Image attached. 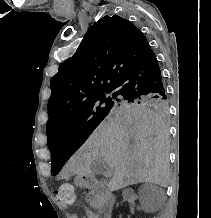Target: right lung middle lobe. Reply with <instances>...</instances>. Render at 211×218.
Listing matches in <instances>:
<instances>
[{
	"label": "right lung middle lobe",
	"mask_w": 211,
	"mask_h": 218,
	"mask_svg": "<svg viewBox=\"0 0 211 218\" xmlns=\"http://www.w3.org/2000/svg\"><path fill=\"white\" fill-rule=\"evenodd\" d=\"M111 91L108 90L59 117L55 124L47 129L49 148L67 144L78 149L108 115L111 108L116 105L136 106L142 104L162 112L168 109L167 98H125L116 97L117 95L114 93L112 97H107L106 94ZM63 165L64 161L52 160V175H56Z\"/></svg>",
	"instance_id": "1"
}]
</instances>
